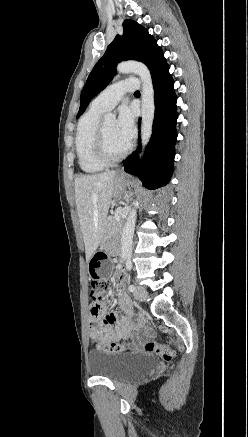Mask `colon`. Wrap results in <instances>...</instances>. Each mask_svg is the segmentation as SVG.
Returning a JSON list of instances; mask_svg holds the SVG:
<instances>
[{
  "instance_id": "1",
  "label": "colon",
  "mask_w": 248,
  "mask_h": 437,
  "mask_svg": "<svg viewBox=\"0 0 248 437\" xmlns=\"http://www.w3.org/2000/svg\"><path fill=\"white\" fill-rule=\"evenodd\" d=\"M111 289V284L106 279H94L91 282L90 297L93 301L98 302L106 297ZM173 339L168 338V343H172ZM102 351L117 353L123 350V346L118 343L102 344L98 347ZM146 350L160 356L167 362L172 361L175 352L169 345H164L156 340H151L146 344Z\"/></svg>"
}]
</instances>
